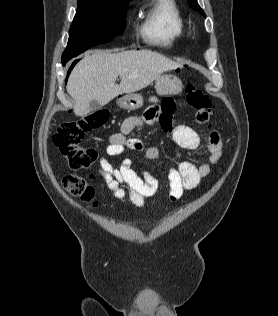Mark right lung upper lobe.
Segmentation results:
<instances>
[{"label": "right lung upper lobe", "mask_w": 278, "mask_h": 316, "mask_svg": "<svg viewBox=\"0 0 278 316\" xmlns=\"http://www.w3.org/2000/svg\"><path fill=\"white\" fill-rule=\"evenodd\" d=\"M83 1H93V2H99V3H114L118 1H130V0H78V2H83Z\"/></svg>", "instance_id": "1"}]
</instances>
